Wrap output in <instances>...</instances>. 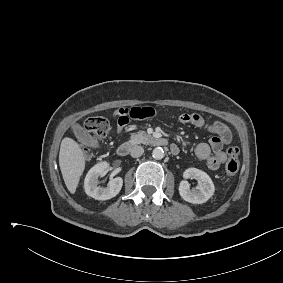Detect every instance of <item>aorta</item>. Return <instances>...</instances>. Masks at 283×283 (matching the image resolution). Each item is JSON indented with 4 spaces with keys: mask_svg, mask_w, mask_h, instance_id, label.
Listing matches in <instances>:
<instances>
[{
    "mask_svg": "<svg viewBox=\"0 0 283 283\" xmlns=\"http://www.w3.org/2000/svg\"><path fill=\"white\" fill-rule=\"evenodd\" d=\"M152 157L156 160H160L164 157V150L161 147L154 148Z\"/></svg>",
    "mask_w": 283,
    "mask_h": 283,
    "instance_id": "obj_1",
    "label": "aorta"
}]
</instances>
